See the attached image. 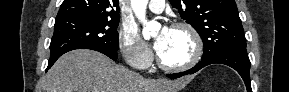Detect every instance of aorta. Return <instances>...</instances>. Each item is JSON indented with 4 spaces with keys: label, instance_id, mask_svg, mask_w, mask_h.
<instances>
[{
    "label": "aorta",
    "instance_id": "1",
    "mask_svg": "<svg viewBox=\"0 0 289 92\" xmlns=\"http://www.w3.org/2000/svg\"><path fill=\"white\" fill-rule=\"evenodd\" d=\"M148 0H131V6L135 12V15L144 25L143 36L145 38L150 37L151 31L156 30L159 27V24L155 21L147 22L145 19V11Z\"/></svg>",
    "mask_w": 289,
    "mask_h": 92
}]
</instances>
